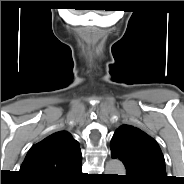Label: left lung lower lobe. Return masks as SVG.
<instances>
[{
    "instance_id": "0a47b994",
    "label": "left lung lower lobe",
    "mask_w": 184,
    "mask_h": 184,
    "mask_svg": "<svg viewBox=\"0 0 184 184\" xmlns=\"http://www.w3.org/2000/svg\"><path fill=\"white\" fill-rule=\"evenodd\" d=\"M111 156H112V158H118V157H117L114 153H112V152H111ZM118 159H119V158H118ZM125 168H126V173H127V175L124 176V179H125L126 181H128V183H130V184H151V183H143V182L137 180L134 176L130 175V174H131V171H130L127 167H125Z\"/></svg>"
}]
</instances>
